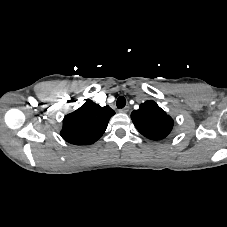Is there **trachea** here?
I'll return each instance as SVG.
<instances>
[{
    "label": "trachea",
    "instance_id": "3493384b",
    "mask_svg": "<svg viewBox=\"0 0 227 227\" xmlns=\"http://www.w3.org/2000/svg\"><path fill=\"white\" fill-rule=\"evenodd\" d=\"M117 108H123L126 105V99L123 96H120L116 102Z\"/></svg>",
    "mask_w": 227,
    "mask_h": 227
}]
</instances>
